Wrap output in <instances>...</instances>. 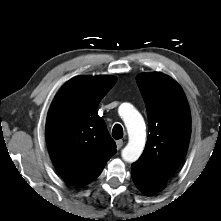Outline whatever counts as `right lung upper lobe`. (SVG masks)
<instances>
[{"instance_id": "obj_1", "label": "right lung upper lobe", "mask_w": 221, "mask_h": 221, "mask_svg": "<svg viewBox=\"0 0 221 221\" xmlns=\"http://www.w3.org/2000/svg\"><path fill=\"white\" fill-rule=\"evenodd\" d=\"M112 76H78L55 96L46 121V142L58 173L70 184L83 186L102 172L116 153L104 120L101 99L114 86Z\"/></svg>"}]
</instances>
